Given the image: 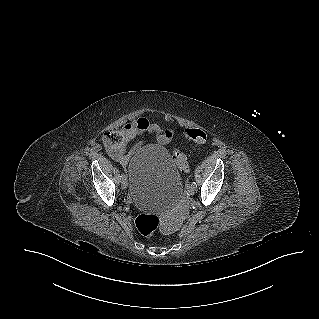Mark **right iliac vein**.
Masks as SVG:
<instances>
[{"label": "right iliac vein", "mask_w": 319, "mask_h": 319, "mask_svg": "<svg viewBox=\"0 0 319 319\" xmlns=\"http://www.w3.org/2000/svg\"><path fill=\"white\" fill-rule=\"evenodd\" d=\"M121 186H122L123 189H127V187H128V181H127L126 177H124V178L122 179V181H121Z\"/></svg>", "instance_id": "obj_1"}]
</instances>
